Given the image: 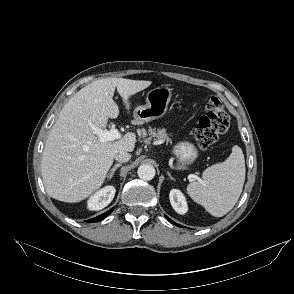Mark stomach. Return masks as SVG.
Returning <instances> with one entry per match:
<instances>
[{"instance_id":"stomach-1","label":"stomach","mask_w":294,"mask_h":294,"mask_svg":"<svg viewBox=\"0 0 294 294\" xmlns=\"http://www.w3.org/2000/svg\"><path fill=\"white\" fill-rule=\"evenodd\" d=\"M172 88L168 86H159L148 91L146 95V104L138 106L134 110V121L136 124L163 117L168 109L172 97ZM173 153L178 160L180 169H185L192 164L198 157V150L190 142H179L173 148Z\"/></svg>"}]
</instances>
